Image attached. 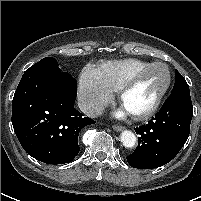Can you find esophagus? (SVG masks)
Wrapping results in <instances>:
<instances>
[{"mask_svg": "<svg viewBox=\"0 0 201 201\" xmlns=\"http://www.w3.org/2000/svg\"><path fill=\"white\" fill-rule=\"evenodd\" d=\"M113 129H114L115 131L119 132V131L124 130V127H123V126L114 125V126H113Z\"/></svg>", "mask_w": 201, "mask_h": 201, "instance_id": "1", "label": "esophagus"}]
</instances>
